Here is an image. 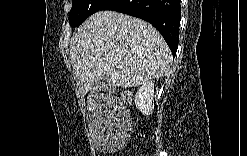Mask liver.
Masks as SVG:
<instances>
[{
	"label": "liver",
	"instance_id": "obj_1",
	"mask_svg": "<svg viewBox=\"0 0 247 156\" xmlns=\"http://www.w3.org/2000/svg\"><path fill=\"white\" fill-rule=\"evenodd\" d=\"M70 56L84 94L100 76L114 87L131 88L163 77L172 63L169 47L152 25L116 11L90 16L72 36Z\"/></svg>",
	"mask_w": 247,
	"mask_h": 156
}]
</instances>
